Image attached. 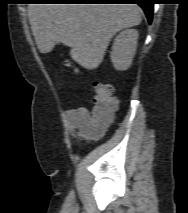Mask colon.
I'll return each mask as SVG.
<instances>
[{
	"label": "colon",
	"mask_w": 188,
	"mask_h": 213,
	"mask_svg": "<svg viewBox=\"0 0 188 213\" xmlns=\"http://www.w3.org/2000/svg\"><path fill=\"white\" fill-rule=\"evenodd\" d=\"M65 66H70L71 62L66 60ZM94 105L91 112V120L94 126H102L109 123L117 110V99L112 95V86L106 83L95 81L92 85Z\"/></svg>",
	"instance_id": "1"
}]
</instances>
